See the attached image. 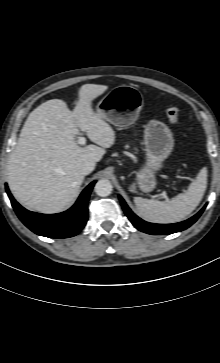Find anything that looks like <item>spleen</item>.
<instances>
[{
  "instance_id": "spleen-1",
  "label": "spleen",
  "mask_w": 220,
  "mask_h": 363,
  "mask_svg": "<svg viewBox=\"0 0 220 363\" xmlns=\"http://www.w3.org/2000/svg\"><path fill=\"white\" fill-rule=\"evenodd\" d=\"M207 187V170L203 168L185 193L167 201L135 197L139 215L146 221L160 224L184 220L201 202Z\"/></svg>"
}]
</instances>
